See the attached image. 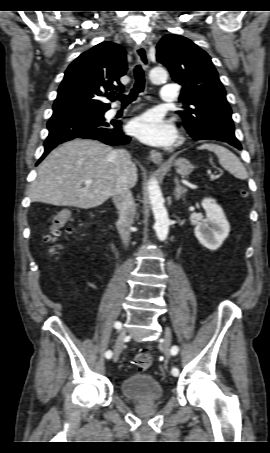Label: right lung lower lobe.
Here are the masks:
<instances>
[{
    "mask_svg": "<svg viewBox=\"0 0 270 453\" xmlns=\"http://www.w3.org/2000/svg\"><path fill=\"white\" fill-rule=\"evenodd\" d=\"M47 127L49 135L44 143L45 151L37 164L58 144L74 138L95 139L108 145L126 144L130 141L123 134L121 123H109L83 113L52 116Z\"/></svg>",
    "mask_w": 270,
    "mask_h": 453,
    "instance_id": "98d812e1",
    "label": "right lung lower lobe"
}]
</instances>
